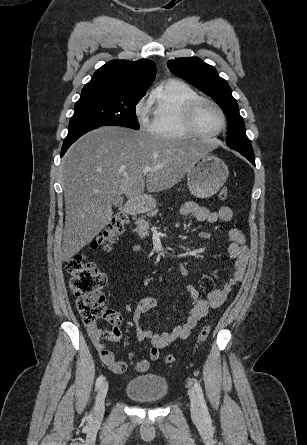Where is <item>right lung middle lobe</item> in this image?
<instances>
[{"instance_id": "right-lung-middle-lobe-1", "label": "right lung middle lobe", "mask_w": 307, "mask_h": 445, "mask_svg": "<svg viewBox=\"0 0 307 445\" xmlns=\"http://www.w3.org/2000/svg\"><path fill=\"white\" fill-rule=\"evenodd\" d=\"M142 97L120 95L80 96L70 119L68 133L91 126H122L139 129L135 106Z\"/></svg>"}]
</instances>
